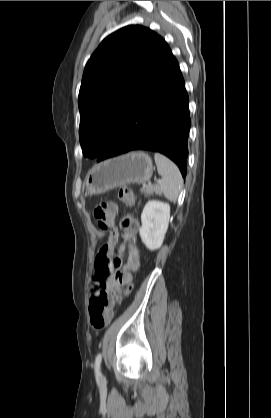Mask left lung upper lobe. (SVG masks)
<instances>
[{"mask_svg": "<svg viewBox=\"0 0 271 418\" xmlns=\"http://www.w3.org/2000/svg\"><path fill=\"white\" fill-rule=\"evenodd\" d=\"M170 55L165 40L142 26H126L102 41L85 66L78 97L85 157L106 150Z\"/></svg>", "mask_w": 271, "mask_h": 418, "instance_id": "obj_1", "label": "left lung upper lobe"}]
</instances>
